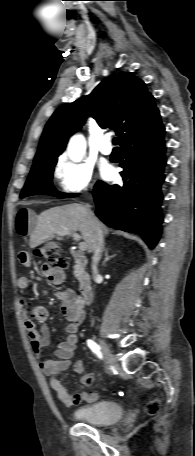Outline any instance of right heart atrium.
Listing matches in <instances>:
<instances>
[{
  "mask_svg": "<svg viewBox=\"0 0 195 456\" xmlns=\"http://www.w3.org/2000/svg\"><path fill=\"white\" fill-rule=\"evenodd\" d=\"M54 174L60 191L66 195L83 193L90 189L93 183L91 167L66 158H60L57 161Z\"/></svg>",
  "mask_w": 195,
  "mask_h": 456,
  "instance_id": "1",
  "label": "right heart atrium"
}]
</instances>
